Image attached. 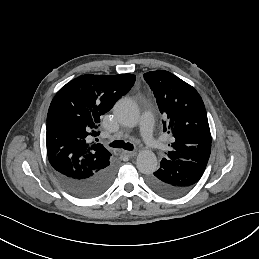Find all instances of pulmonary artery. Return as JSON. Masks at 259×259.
Returning <instances> with one entry per match:
<instances>
[{
  "label": "pulmonary artery",
  "instance_id": "e3ab8cb5",
  "mask_svg": "<svg viewBox=\"0 0 259 259\" xmlns=\"http://www.w3.org/2000/svg\"><path fill=\"white\" fill-rule=\"evenodd\" d=\"M153 116L149 113H142L139 117L130 122V126L142 125L146 135L152 133L153 128Z\"/></svg>",
  "mask_w": 259,
  "mask_h": 259
}]
</instances>
